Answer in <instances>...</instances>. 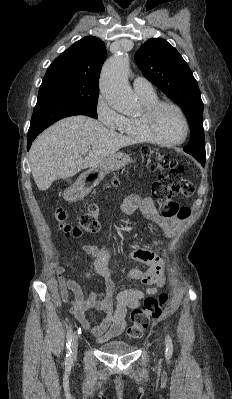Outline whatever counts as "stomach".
I'll use <instances>...</instances> for the list:
<instances>
[{
  "label": "stomach",
  "mask_w": 232,
  "mask_h": 399,
  "mask_svg": "<svg viewBox=\"0 0 232 399\" xmlns=\"http://www.w3.org/2000/svg\"><path fill=\"white\" fill-rule=\"evenodd\" d=\"M133 160L129 154H110L106 156L105 160L99 164L98 168H92L83 174V184L81 190H78L77 200L83 198V194L90 192L92 188L98 186L101 180H103L106 174L109 172H116V170H121L127 164H132Z\"/></svg>",
  "instance_id": "stomach-1"
}]
</instances>
